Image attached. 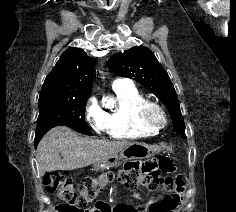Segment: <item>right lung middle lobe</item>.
Listing matches in <instances>:
<instances>
[{"label":"right lung middle lobe","instance_id":"obj_1","mask_svg":"<svg viewBox=\"0 0 236 212\" xmlns=\"http://www.w3.org/2000/svg\"><path fill=\"white\" fill-rule=\"evenodd\" d=\"M88 98L89 96L39 99L35 147L47 131L58 125H66L79 133L91 135L87 129L84 115Z\"/></svg>","mask_w":236,"mask_h":212}]
</instances>
